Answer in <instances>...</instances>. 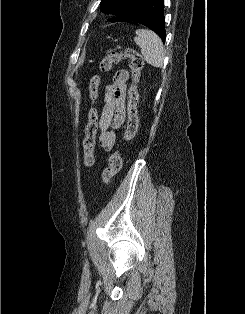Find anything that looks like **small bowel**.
Instances as JSON below:
<instances>
[{
    "label": "small bowel",
    "instance_id": "small-bowel-1",
    "mask_svg": "<svg viewBox=\"0 0 245 314\" xmlns=\"http://www.w3.org/2000/svg\"><path fill=\"white\" fill-rule=\"evenodd\" d=\"M129 78L127 70H118L110 83L105 86L104 106L97 124L100 130L99 144L110 151L116 144V131L125 122V98Z\"/></svg>",
    "mask_w": 245,
    "mask_h": 314
}]
</instances>
